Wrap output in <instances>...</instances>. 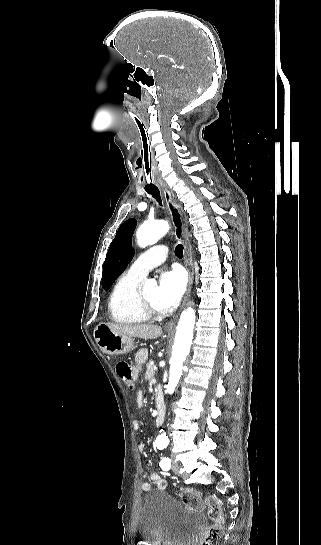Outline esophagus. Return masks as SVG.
Wrapping results in <instances>:
<instances>
[{
  "mask_svg": "<svg viewBox=\"0 0 321 545\" xmlns=\"http://www.w3.org/2000/svg\"><path fill=\"white\" fill-rule=\"evenodd\" d=\"M161 190L175 228V238L176 240H181L184 244V263L188 272V285L186 295L182 303L183 307L190 294L194 276L192 246L188 236L187 219L182 205L177 203L174 194L171 192L169 187H167V185H161ZM176 318L167 323L165 327L167 329H172L175 326Z\"/></svg>",
  "mask_w": 321,
  "mask_h": 545,
  "instance_id": "obj_1",
  "label": "esophagus"
}]
</instances>
